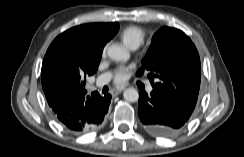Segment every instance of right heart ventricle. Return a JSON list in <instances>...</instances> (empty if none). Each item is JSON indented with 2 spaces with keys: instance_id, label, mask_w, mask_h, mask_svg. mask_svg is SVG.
I'll list each match as a JSON object with an SVG mask.
<instances>
[{
  "instance_id": "obj_1",
  "label": "right heart ventricle",
  "mask_w": 244,
  "mask_h": 157,
  "mask_svg": "<svg viewBox=\"0 0 244 157\" xmlns=\"http://www.w3.org/2000/svg\"><path fill=\"white\" fill-rule=\"evenodd\" d=\"M145 31L136 25H130L124 28L120 33V39L128 48H137L145 40Z\"/></svg>"
}]
</instances>
